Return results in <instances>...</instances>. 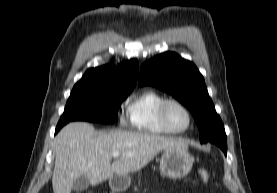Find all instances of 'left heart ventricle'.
<instances>
[{
	"mask_svg": "<svg viewBox=\"0 0 277 193\" xmlns=\"http://www.w3.org/2000/svg\"><path fill=\"white\" fill-rule=\"evenodd\" d=\"M167 120L169 125L175 130H182L188 125L186 112L177 104H170L167 107Z\"/></svg>",
	"mask_w": 277,
	"mask_h": 193,
	"instance_id": "left-heart-ventricle-1",
	"label": "left heart ventricle"
}]
</instances>
